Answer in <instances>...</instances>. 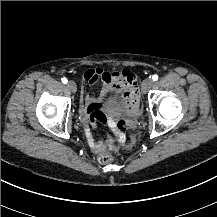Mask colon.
Masks as SVG:
<instances>
[{
	"label": "colon",
	"mask_w": 217,
	"mask_h": 217,
	"mask_svg": "<svg viewBox=\"0 0 217 217\" xmlns=\"http://www.w3.org/2000/svg\"><path fill=\"white\" fill-rule=\"evenodd\" d=\"M110 149L113 152L121 151L122 149L123 150L126 149V151L129 152V151H131L132 148L129 145L127 146L126 143H123V144L111 145ZM111 160H112V157L109 154H103V153H100L96 158V161L99 164H108Z\"/></svg>",
	"instance_id": "1"
}]
</instances>
